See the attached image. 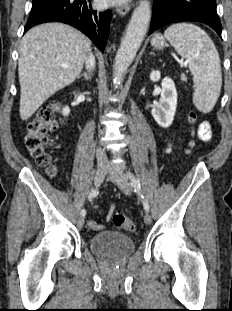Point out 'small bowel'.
I'll use <instances>...</instances> for the list:
<instances>
[{
    "label": "small bowel",
    "mask_w": 232,
    "mask_h": 311,
    "mask_svg": "<svg viewBox=\"0 0 232 311\" xmlns=\"http://www.w3.org/2000/svg\"><path fill=\"white\" fill-rule=\"evenodd\" d=\"M199 136L203 141H209L211 139V125L208 122H203L199 128ZM167 144L166 152H169L173 144L169 139H165ZM88 225L92 230L100 231L104 229V225L97 224L94 220H88Z\"/></svg>",
    "instance_id": "small-bowel-1"
}]
</instances>
